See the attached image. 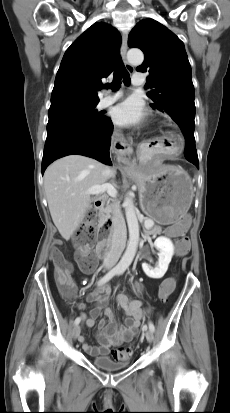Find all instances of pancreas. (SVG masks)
Returning <instances> with one entry per match:
<instances>
[{
  "label": "pancreas",
  "instance_id": "pancreas-1",
  "mask_svg": "<svg viewBox=\"0 0 230 413\" xmlns=\"http://www.w3.org/2000/svg\"><path fill=\"white\" fill-rule=\"evenodd\" d=\"M112 205L106 204L105 207L101 209L100 215L105 217H110V213L112 212ZM152 222V221H151ZM162 231V228L158 225H154L151 229L147 230L148 234H158Z\"/></svg>",
  "mask_w": 230,
  "mask_h": 413
}]
</instances>
